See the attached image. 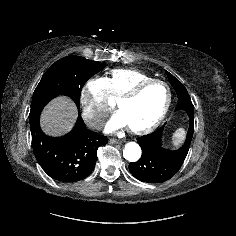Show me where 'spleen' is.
Returning a JSON list of instances; mask_svg holds the SVG:
<instances>
[{
  "label": "spleen",
  "mask_w": 236,
  "mask_h": 236,
  "mask_svg": "<svg viewBox=\"0 0 236 236\" xmlns=\"http://www.w3.org/2000/svg\"><path fill=\"white\" fill-rule=\"evenodd\" d=\"M186 132L183 128L177 129L172 136V144L174 147L180 146L185 141Z\"/></svg>",
  "instance_id": "1"
}]
</instances>
